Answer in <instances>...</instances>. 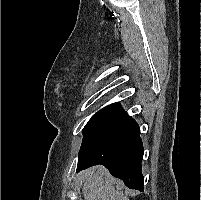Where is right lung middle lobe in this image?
<instances>
[{
    "mask_svg": "<svg viewBox=\"0 0 201 200\" xmlns=\"http://www.w3.org/2000/svg\"><path fill=\"white\" fill-rule=\"evenodd\" d=\"M121 108V105L119 103H113L111 105L106 106L105 108L98 111L86 124V126L83 129V133L99 123L100 121L104 120L108 116L112 115L113 113L119 111Z\"/></svg>",
    "mask_w": 201,
    "mask_h": 200,
    "instance_id": "dd1d6c3e",
    "label": "right lung middle lobe"
}]
</instances>
